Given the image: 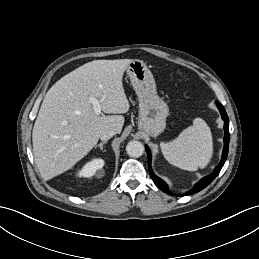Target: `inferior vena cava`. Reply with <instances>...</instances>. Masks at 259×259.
<instances>
[{"label": "inferior vena cava", "mask_w": 259, "mask_h": 259, "mask_svg": "<svg viewBox=\"0 0 259 259\" xmlns=\"http://www.w3.org/2000/svg\"><path fill=\"white\" fill-rule=\"evenodd\" d=\"M115 134H116L115 130L108 129V130H105L104 132H102V134L100 136V139L103 140V141H107L110 138H112Z\"/></svg>", "instance_id": "1"}]
</instances>
